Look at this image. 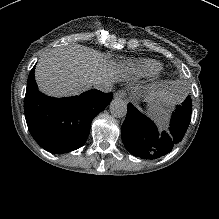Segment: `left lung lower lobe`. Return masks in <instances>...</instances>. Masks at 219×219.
Listing matches in <instances>:
<instances>
[{
	"mask_svg": "<svg viewBox=\"0 0 219 219\" xmlns=\"http://www.w3.org/2000/svg\"><path fill=\"white\" fill-rule=\"evenodd\" d=\"M192 110L178 106L172 116L169 130L161 132L154 122L128 104L126 119L122 125V141L136 157L156 159L169 153L180 142L190 123Z\"/></svg>",
	"mask_w": 219,
	"mask_h": 219,
	"instance_id": "1",
	"label": "left lung lower lobe"
}]
</instances>
